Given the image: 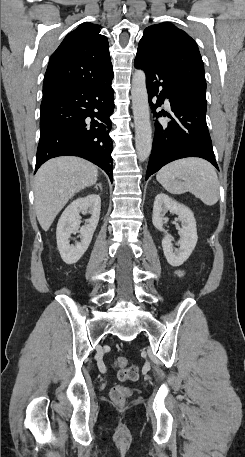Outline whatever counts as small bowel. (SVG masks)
<instances>
[{"instance_id": "obj_1", "label": "small bowel", "mask_w": 245, "mask_h": 457, "mask_svg": "<svg viewBox=\"0 0 245 457\" xmlns=\"http://www.w3.org/2000/svg\"><path fill=\"white\" fill-rule=\"evenodd\" d=\"M183 275H184V271H183V270H177V271L175 272V276H176V277H182Z\"/></svg>"}]
</instances>
